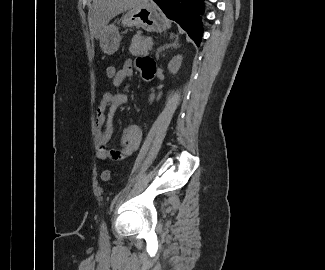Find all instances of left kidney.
I'll use <instances>...</instances> for the list:
<instances>
[{"label":"left kidney","mask_w":325,"mask_h":270,"mask_svg":"<svg viewBox=\"0 0 325 270\" xmlns=\"http://www.w3.org/2000/svg\"><path fill=\"white\" fill-rule=\"evenodd\" d=\"M182 56L177 55L172 58V60L168 63V69L172 74H176L181 66ZM155 98L154 93L150 95L149 101L152 102Z\"/></svg>","instance_id":"1"}]
</instances>
